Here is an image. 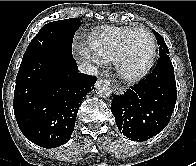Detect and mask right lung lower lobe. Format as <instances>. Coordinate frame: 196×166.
Wrapping results in <instances>:
<instances>
[{
  "instance_id": "98d812e1",
  "label": "right lung lower lobe",
  "mask_w": 196,
  "mask_h": 166,
  "mask_svg": "<svg viewBox=\"0 0 196 166\" xmlns=\"http://www.w3.org/2000/svg\"><path fill=\"white\" fill-rule=\"evenodd\" d=\"M96 80L79 73L72 56L48 51L23 58L13 104L24 136L44 148L65 144L71 138L82 99Z\"/></svg>"
}]
</instances>
